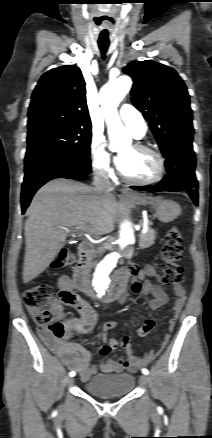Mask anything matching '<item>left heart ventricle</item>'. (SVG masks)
<instances>
[{
  "label": "left heart ventricle",
  "mask_w": 212,
  "mask_h": 438,
  "mask_svg": "<svg viewBox=\"0 0 212 438\" xmlns=\"http://www.w3.org/2000/svg\"><path fill=\"white\" fill-rule=\"evenodd\" d=\"M124 159L123 173L131 179L146 180L157 173V162L151 154L128 146L120 152Z\"/></svg>",
  "instance_id": "1"
}]
</instances>
